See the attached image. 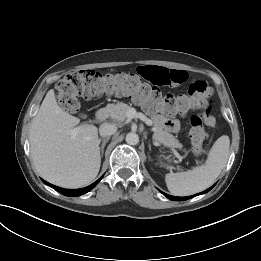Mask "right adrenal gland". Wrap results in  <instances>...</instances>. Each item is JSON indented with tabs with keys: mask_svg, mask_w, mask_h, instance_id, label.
Returning <instances> with one entry per match:
<instances>
[{
	"mask_svg": "<svg viewBox=\"0 0 261 261\" xmlns=\"http://www.w3.org/2000/svg\"><path fill=\"white\" fill-rule=\"evenodd\" d=\"M109 137L104 138V139H99V143L102 142L101 147H100V152H101V157L103 156L104 153V147L106 146V143L109 141Z\"/></svg>",
	"mask_w": 261,
	"mask_h": 261,
	"instance_id": "2a0ac1e0",
	"label": "right adrenal gland"
}]
</instances>
